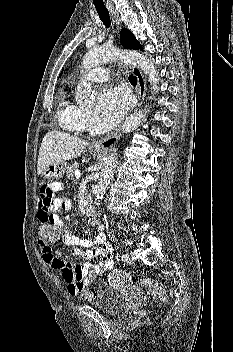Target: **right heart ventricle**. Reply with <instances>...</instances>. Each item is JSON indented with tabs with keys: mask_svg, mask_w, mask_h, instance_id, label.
Here are the masks:
<instances>
[{
	"mask_svg": "<svg viewBox=\"0 0 233 352\" xmlns=\"http://www.w3.org/2000/svg\"><path fill=\"white\" fill-rule=\"evenodd\" d=\"M82 109L72 101L65 99L59 105L57 120L60 127L72 134L81 132L84 127L82 123Z\"/></svg>",
	"mask_w": 233,
	"mask_h": 352,
	"instance_id": "right-heart-ventricle-1",
	"label": "right heart ventricle"
}]
</instances>
